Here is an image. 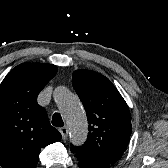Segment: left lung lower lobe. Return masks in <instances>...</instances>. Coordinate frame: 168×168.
<instances>
[{
  "mask_svg": "<svg viewBox=\"0 0 168 168\" xmlns=\"http://www.w3.org/2000/svg\"><path fill=\"white\" fill-rule=\"evenodd\" d=\"M71 152L75 154L80 168H110L112 166L109 163L103 162L85 153L83 150L76 149Z\"/></svg>",
  "mask_w": 168,
  "mask_h": 168,
  "instance_id": "0a47b994",
  "label": "left lung lower lobe"
}]
</instances>
